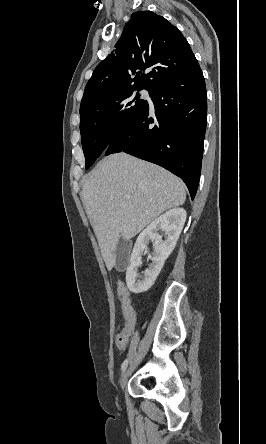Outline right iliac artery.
Returning a JSON list of instances; mask_svg holds the SVG:
<instances>
[{"label":"right iliac artery","instance_id":"1","mask_svg":"<svg viewBox=\"0 0 266 444\" xmlns=\"http://www.w3.org/2000/svg\"><path fill=\"white\" fill-rule=\"evenodd\" d=\"M127 365H128V359H125L121 366L122 371L126 369Z\"/></svg>","mask_w":266,"mask_h":444}]
</instances>
